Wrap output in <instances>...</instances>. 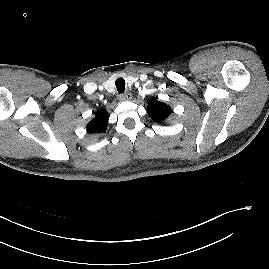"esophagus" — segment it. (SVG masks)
I'll return each instance as SVG.
<instances>
[{"instance_id":"34e87169","label":"esophagus","mask_w":269,"mask_h":269,"mask_svg":"<svg viewBox=\"0 0 269 269\" xmlns=\"http://www.w3.org/2000/svg\"><path fill=\"white\" fill-rule=\"evenodd\" d=\"M120 101H128V100H131L132 99V94L127 92V93H124V94H121L120 97H119Z\"/></svg>"}]
</instances>
